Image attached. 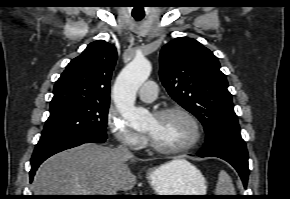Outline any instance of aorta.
Masks as SVG:
<instances>
[{"instance_id": "1", "label": "aorta", "mask_w": 290, "mask_h": 199, "mask_svg": "<svg viewBox=\"0 0 290 199\" xmlns=\"http://www.w3.org/2000/svg\"><path fill=\"white\" fill-rule=\"evenodd\" d=\"M151 70L147 59L135 58L121 71L113 87L114 103L134 129L146 127L151 118L148 110L135 106L136 93L150 76Z\"/></svg>"}]
</instances>
